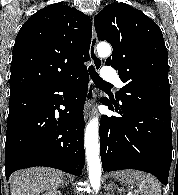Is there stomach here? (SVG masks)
Here are the masks:
<instances>
[{
  "instance_id": "stomach-1",
  "label": "stomach",
  "mask_w": 178,
  "mask_h": 195,
  "mask_svg": "<svg viewBox=\"0 0 178 195\" xmlns=\"http://www.w3.org/2000/svg\"><path fill=\"white\" fill-rule=\"evenodd\" d=\"M114 178H117V177H116V174H114ZM117 179L119 180V182H120V184H121V186H122L120 190H124V185L127 186L128 188L131 186V184L127 183L126 181L121 180V179H119V178H117Z\"/></svg>"
}]
</instances>
